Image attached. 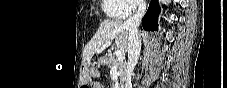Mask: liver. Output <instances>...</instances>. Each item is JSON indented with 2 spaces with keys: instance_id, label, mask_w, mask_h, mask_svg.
Listing matches in <instances>:
<instances>
[{
  "instance_id": "6515ba94",
  "label": "liver",
  "mask_w": 227,
  "mask_h": 88,
  "mask_svg": "<svg viewBox=\"0 0 227 88\" xmlns=\"http://www.w3.org/2000/svg\"><path fill=\"white\" fill-rule=\"evenodd\" d=\"M129 32L123 21L105 20L100 23L97 32L84 49L83 60L89 62L93 55L103 49L107 42L115 40L116 47L126 52L128 50Z\"/></svg>"
}]
</instances>
